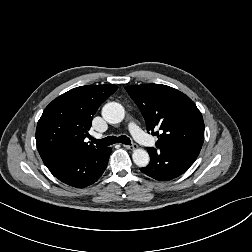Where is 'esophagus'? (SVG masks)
I'll return each instance as SVG.
<instances>
[{
  "label": "esophagus",
  "instance_id": "1",
  "mask_svg": "<svg viewBox=\"0 0 252 252\" xmlns=\"http://www.w3.org/2000/svg\"><path fill=\"white\" fill-rule=\"evenodd\" d=\"M124 148L129 149V150H135L137 149L138 145L137 144H132V145H123Z\"/></svg>",
  "mask_w": 252,
  "mask_h": 252
}]
</instances>
